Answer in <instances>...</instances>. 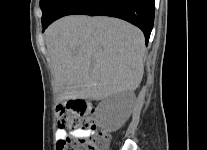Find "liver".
<instances>
[{
  "mask_svg": "<svg viewBox=\"0 0 207 150\" xmlns=\"http://www.w3.org/2000/svg\"><path fill=\"white\" fill-rule=\"evenodd\" d=\"M45 41L59 102L101 100L141 83L144 35L128 22L67 16L48 27Z\"/></svg>",
  "mask_w": 207,
  "mask_h": 150,
  "instance_id": "liver-1",
  "label": "liver"
}]
</instances>
